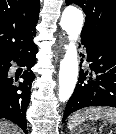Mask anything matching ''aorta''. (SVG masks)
I'll use <instances>...</instances> for the list:
<instances>
[{
  "label": "aorta",
  "mask_w": 116,
  "mask_h": 134,
  "mask_svg": "<svg viewBox=\"0 0 116 134\" xmlns=\"http://www.w3.org/2000/svg\"><path fill=\"white\" fill-rule=\"evenodd\" d=\"M61 27L68 35L70 43L65 46L66 52L60 62L59 91L60 102H66L72 95L78 77V53L76 41L83 26V13L76 7H67L61 17Z\"/></svg>",
  "instance_id": "1"
}]
</instances>
